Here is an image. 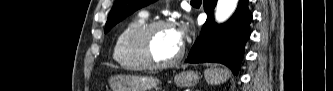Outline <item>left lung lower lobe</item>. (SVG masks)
I'll return each instance as SVG.
<instances>
[{
  "label": "left lung lower lobe",
  "instance_id": "0a47b994",
  "mask_svg": "<svg viewBox=\"0 0 333 91\" xmlns=\"http://www.w3.org/2000/svg\"><path fill=\"white\" fill-rule=\"evenodd\" d=\"M217 0H204L207 20L186 59L188 63L218 62L228 66L234 74L238 73L249 39V25L252 14L248 0H240L233 16L223 24H216L213 11Z\"/></svg>",
  "mask_w": 333,
  "mask_h": 91
}]
</instances>
